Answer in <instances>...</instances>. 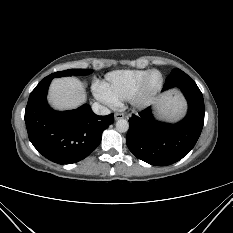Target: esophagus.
Listing matches in <instances>:
<instances>
[{
	"label": "esophagus",
	"instance_id": "obj_1",
	"mask_svg": "<svg viewBox=\"0 0 233 233\" xmlns=\"http://www.w3.org/2000/svg\"><path fill=\"white\" fill-rule=\"evenodd\" d=\"M123 117H124L123 113H115V115H114L115 120L121 119Z\"/></svg>",
	"mask_w": 233,
	"mask_h": 233
}]
</instances>
